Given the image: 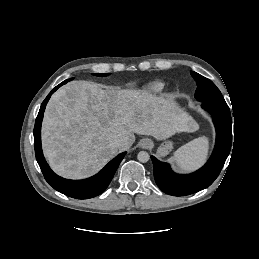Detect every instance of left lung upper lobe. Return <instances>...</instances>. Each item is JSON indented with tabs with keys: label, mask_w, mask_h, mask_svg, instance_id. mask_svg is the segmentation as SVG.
<instances>
[{
	"label": "left lung upper lobe",
	"mask_w": 259,
	"mask_h": 259,
	"mask_svg": "<svg viewBox=\"0 0 259 259\" xmlns=\"http://www.w3.org/2000/svg\"><path fill=\"white\" fill-rule=\"evenodd\" d=\"M191 75L196 80L197 90L195 98L201 102H225L221 92L216 85L204 76L191 71Z\"/></svg>",
	"instance_id": "1"
}]
</instances>
